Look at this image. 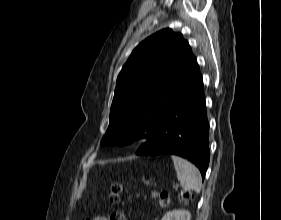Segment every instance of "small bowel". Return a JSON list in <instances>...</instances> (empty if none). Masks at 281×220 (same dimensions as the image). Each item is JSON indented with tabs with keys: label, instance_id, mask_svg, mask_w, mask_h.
Returning <instances> with one entry per match:
<instances>
[{
	"label": "small bowel",
	"instance_id": "1",
	"mask_svg": "<svg viewBox=\"0 0 281 220\" xmlns=\"http://www.w3.org/2000/svg\"><path fill=\"white\" fill-rule=\"evenodd\" d=\"M93 220H108V218H107V217L100 216V217L94 218Z\"/></svg>",
	"mask_w": 281,
	"mask_h": 220
}]
</instances>
